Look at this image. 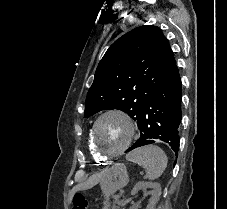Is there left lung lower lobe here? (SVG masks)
I'll use <instances>...</instances> for the list:
<instances>
[{"mask_svg":"<svg viewBox=\"0 0 227 209\" xmlns=\"http://www.w3.org/2000/svg\"><path fill=\"white\" fill-rule=\"evenodd\" d=\"M181 80L178 67L166 79L162 88L144 105L137 120L140 139L126 152L144 145L163 142L175 152L179 149L178 129L181 123Z\"/></svg>","mask_w":227,"mask_h":209,"instance_id":"left-lung-lower-lobe-1","label":"left lung lower lobe"}]
</instances>
